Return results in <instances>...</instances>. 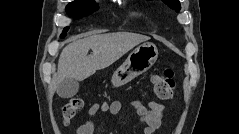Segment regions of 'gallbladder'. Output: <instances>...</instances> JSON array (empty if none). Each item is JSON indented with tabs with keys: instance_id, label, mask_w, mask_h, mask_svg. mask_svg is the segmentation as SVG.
Returning <instances> with one entry per match:
<instances>
[{
	"instance_id": "obj_1",
	"label": "gallbladder",
	"mask_w": 239,
	"mask_h": 134,
	"mask_svg": "<svg viewBox=\"0 0 239 134\" xmlns=\"http://www.w3.org/2000/svg\"><path fill=\"white\" fill-rule=\"evenodd\" d=\"M79 89V82L72 78L61 81L57 86V94L61 98H70L74 96Z\"/></svg>"
}]
</instances>
